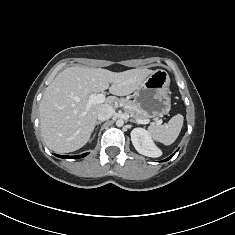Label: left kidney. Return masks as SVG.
Masks as SVG:
<instances>
[{
  "label": "left kidney",
  "mask_w": 235,
  "mask_h": 235,
  "mask_svg": "<svg viewBox=\"0 0 235 235\" xmlns=\"http://www.w3.org/2000/svg\"><path fill=\"white\" fill-rule=\"evenodd\" d=\"M131 141L138 153L148 157L161 156V150L154 144L150 133L143 128H134L131 131Z\"/></svg>",
  "instance_id": "obj_1"
}]
</instances>
